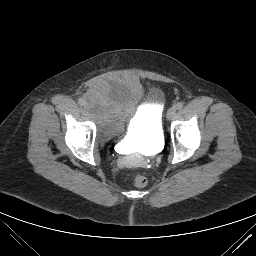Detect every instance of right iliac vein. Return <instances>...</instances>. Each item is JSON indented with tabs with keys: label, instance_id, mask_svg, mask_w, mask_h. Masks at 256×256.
Returning <instances> with one entry per match:
<instances>
[{
	"label": "right iliac vein",
	"instance_id": "63e3f726",
	"mask_svg": "<svg viewBox=\"0 0 256 256\" xmlns=\"http://www.w3.org/2000/svg\"><path fill=\"white\" fill-rule=\"evenodd\" d=\"M84 108H85L86 110H89V109L91 108V105H90L89 103H86V104L84 105Z\"/></svg>",
	"mask_w": 256,
	"mask_h": 256
}]
</instances>
